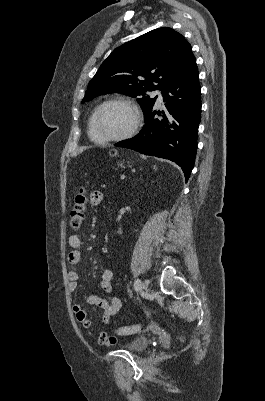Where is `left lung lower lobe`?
I'll use <instances>...</instances> for the list:
<instances>
[{"mask_svg":"<svg viewBox=\"0 0 265 401\" xmlns=\"http://www.w3.org/2000/svg\"><path fill=\"white\" fill-rule=\"evenodd\" d=\"M161 93L166 107L158 111L161 118L154 119L156 111L149 110L140 133L115 146L169 159L182 168L187 181L194 166L201 118V88L194 56Z\"/></svg>","mask_w":265,"mask_h":401,"instance_id":"1","label":"left lung lower lobe"}]
</instances>
